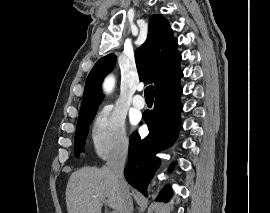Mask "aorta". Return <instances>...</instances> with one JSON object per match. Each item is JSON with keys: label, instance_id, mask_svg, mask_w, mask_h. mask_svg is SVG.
I'll use <instances>...</instances> for the list:
<instances>
[{"label": "aorta", "instance_id": "1", "mask_svg": "<svg viewBox=\"0 0 270 213\" xmlns=\"http://www.w3.org/2000/svg\"><path fill=\"white\" fill-rule=\"evenodd\" d=\"M114 86V79L112 77H109L106 81H105V84H104V89L107 91V92H110L112 90Z\"/></svg>", "mask_w": 270, "mask_h": 213}]
</instances>
